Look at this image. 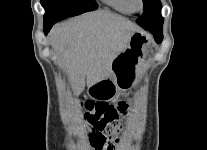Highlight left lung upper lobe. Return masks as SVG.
I'll return each instance as SVG.
<instances>
[{
	"mask_svg": "<svg viewBox=\"0 0 207 150\" xmlns=\"http://www.w3.org/2000/svg\"><path fill=\"white\" fill-rule=\"evenodd\" d=\"M144 12L136 22L144 29L152 32H162L163 17L161 16L160 0H143Z\"/></svg>",
	"mask_w": 207,
	"mask_h": 150,
	"instance_id": "left-lung-upper-lobe-1",
	"label": "left lung upper lobe"
}]
</instances>
